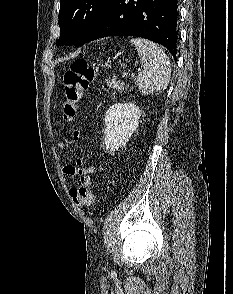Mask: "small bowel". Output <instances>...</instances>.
Returning <instances> with one entry per match:
<instances>
[{
  "label": "small bowel",
  "instance_id": "small-bowel-1",
  "mask_svg": "<svg viewBox=\"0 0 233 294\" xmlns=\"http://www.w3.org/2000/svg\"><path fill=\"white\" fill-rule=\"evenodd\" d=\"M63 170L66 174L76 177L77 181L81 183V178L86 176L88 173H91L93 168H76L72 164H67L64 166ZM89 180L91 182V178H89Z\"/></svg>",
  "mask_w": 233,
  "mask_h": 294
}]
</instances>
